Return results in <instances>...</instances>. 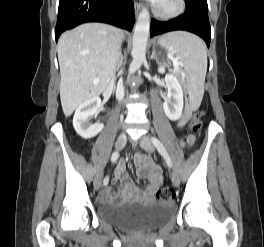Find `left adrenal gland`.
Here are the masks:
<instances>
[{
    "label": "left adrenal gland",
    "instance_id": "a2214340",
    "mask_svg": "<svg viewBox=\"0 0 264 247\" xmlns=\"http://www.w3.org/2000/svg\"><path fill=\"white\" fill-rule=\"evenodd\" d=\"M150 59H156V61H157V56H156V51H155V49H153V51H152V55L150 56Z\"/></svg>",
    "mask_w": 264,
    "mask_h": 247
}]
</instances>
